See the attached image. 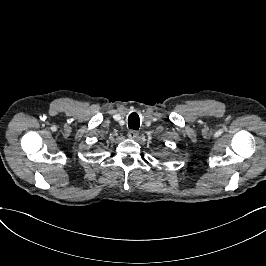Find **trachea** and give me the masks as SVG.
<instances>
[{"label":"trachea","instance_id":"obj_1","mask_svg":"<svg viewBox=\"0 0 266 266\" xmlns=\"http://www.w3.org/2000/svg\"><path fill=\"white\" fill-rule=\"evenodd\" d=\"M139 116L136 113H132L128 118V125L130 129H138L139 128Z\"/></svg>","mask_w":266,"mask_h":266}]
</instances>
